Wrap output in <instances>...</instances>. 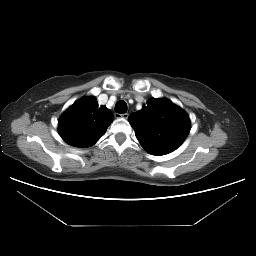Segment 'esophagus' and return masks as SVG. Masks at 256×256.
<instances>
[{
	"mask_svg": "<svg viewBox=\"0 0 256 256\" xmlns=\"http://www.w3.org/2000/svg\"><path fill=\"white\" fill-rule=\"evenodd\" d=\"M128 116H129V114L128 113H124V114H115V117L116 118H124V119H127L128 118Z\"/></svg>",
	"mask_w": 256,
	"mask_h": 256,
	"instance_id": "1",
	"label": "esophagus"
}]
</instances>
